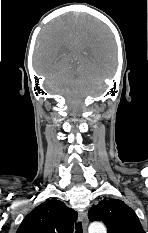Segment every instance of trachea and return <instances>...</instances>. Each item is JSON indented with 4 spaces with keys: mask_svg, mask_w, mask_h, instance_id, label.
Listing matches in <instances>:
<instances>
[{
    "mask_svg": "<svg viewBox=\"0 0 148 233\" xmlns=\"http://www.w3.org/2000/svg\"><path fill=\"white\" fill-rule=\"evenodd\" d=\"M75 230H76L75 233H83L82 223L81 222L76 223Z\"/></svg>",
    "mask_w": 148,
    "mask_h": 233,
    "instance_id": "3493384b",
    "label": "trachea"
}]
</instances>
